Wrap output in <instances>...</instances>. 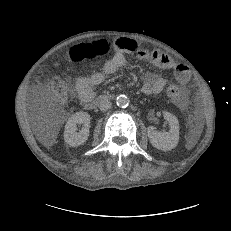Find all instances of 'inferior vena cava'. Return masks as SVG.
<instances>
[{"label":"inferior vena cava","instance_id":"inferior-vena-cava-1","mask_svg":"<svg viewBox=\"0 0 231 231\" xmlns=\"http://www.w3.org/2000/svg\"><path fill=\"white\" fill-rule=\"evenodd\" d=\"M98 105L101 111H107L111 108L112 103L106 98H101L98 100Z\"/></svg>","mask_w":231,"mask_h":231}]
</instances>
